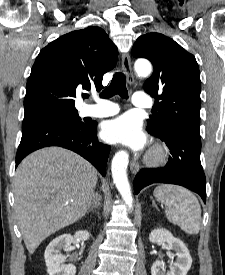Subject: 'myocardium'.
<instances>
[{"mask_svg": "<svg viewBox=\"0 0 225 275\" xmlns=\"http://www.w3.org/2000/svg\"><path fill=\"white\" fill-rule=\"evenodd\" d=\"M167 157H168V154L166 149L162 145L156 144L155 146L152 147V149L148 153L146 157V163L149 166L157 167L165 163V161L167 160Z\"/></svg>", "mask_w": 225, "mask_h": 275, "instance_id": "1", "label": "myocardium"}]
</instances>
